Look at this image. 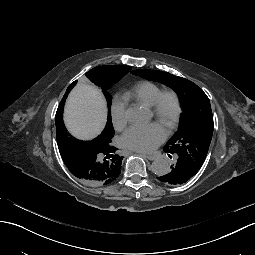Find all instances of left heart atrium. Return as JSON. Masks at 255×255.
<instances>
[{
  "instance_id": "left-heart-atrium-1",
  "label": "left heart atrium",
  "mask_w": 255,
  "mask_h": 255,
  "mask_svg": "<svg viewBox=\"0 0 255 255\" xmlns=\"http://www.w3.org/2000/svg\"><path fill=\"white\" fill-rule=\"evenodd\" d=\"M166 134L153 124H139L129 128L121 137L124 147L142 153H151L165 140Z\"/></svg>"
}]
</instances>
